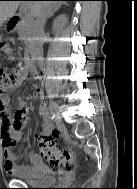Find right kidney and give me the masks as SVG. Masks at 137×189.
<instances>
[{
    "instance_id": "obj_1",
    "label": "right kidney",
    "mask_w": 137,
    "mask_h": 189,
    "mask_svg": "<svg viewBox=\"0 0 137 189\" xmlns=\"http://www.w3.org/2000/svg\"><path fill=\"white\" fill-rule=\"evenodd\" d=\"M66 23H67L66 16L65 15H60L54 20L53 29L56 30V29H58L59 27L63 26Z\"/></svg>"
}]
</instances>
